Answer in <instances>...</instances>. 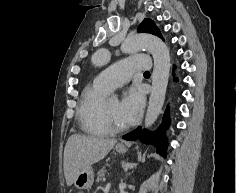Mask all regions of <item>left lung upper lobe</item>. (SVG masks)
<instances>
[{"label": "left lung upper lobe", "mask_w": 237, "mask_h": 193, "mask_svg": "<svg viewBox=\"0 0 237 193\" xmlns=\"http://www.w3.org/2000/svg\"><path fill=\"white\" fill-rule=\"evenodd\" d=\"M140 33H151L162 38L160 30L151 19H144L138 27Z\"/></svg>", "instance_id": "1"}]
</instances>
